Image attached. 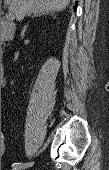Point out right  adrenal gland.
<instances>
[{"instance_id": "1", "label": "right adrenal gland", "mask_w": 109, "mask_h": 170, "mask_svg": "<svg viewBox=\"0 0 109 170\" xmlns=\"http://www.w3.org/2000/svg\"><path fill=\"white\" fill-rule=\"evenodd\" d=\"M48 12H40V13H36V14H34L32 17H36V16H41V15H45V14H47ZM51 14H52V12H51ZM27 27V26H26ZM25 27V28H26Z\"/></svg>"}]
</instances>
